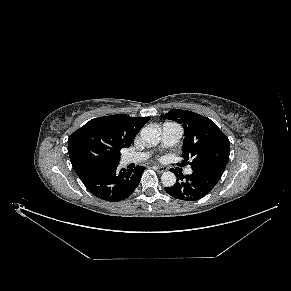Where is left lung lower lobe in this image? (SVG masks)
<instances>
[{"instance_id": "1", "label": "left lung lower lobe", "mask_w": 291, "mask_h": 291, "mask_svg": "<svg viewBox=\"0 0 291 291\" xmlns=\"http://www.w3.org/2000/svg\"><path fill=\"white\" fill-rule=\"evenodd\" d=\"M190 175L178 174L174 169L177 181L165 191L172 197L184 200L195 201L207 195L220 180L224 170L215 168H194Z\"/></svg>"}]
</instances>
